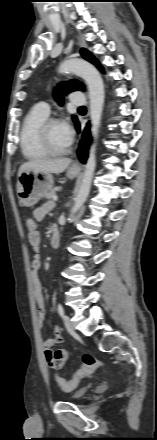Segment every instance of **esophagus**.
<instances>
[{
    "label": "esophagus",
    "mask_w": 157,
    "mask_h": 440,
    "mask_svg": "<svg viewBox=\"0 0 157 440\" xmlns=\"http://www.w3.org/2000/svg\"><path fill=\"white\" fill-rule=\"evenodd\" d=\"M72 168H74V169H80V164H79L78 162H76V163H74V164L72 165Z\"/></svg>",
    "instance_id": "obj_1"
}]
</instances>
